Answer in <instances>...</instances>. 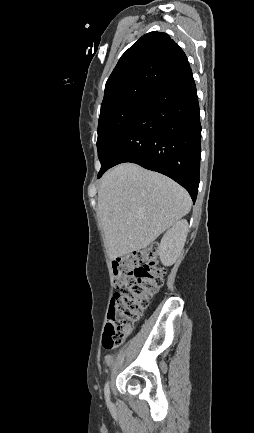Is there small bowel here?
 Masks as SVG:
<instances>
[{"mask_svg": "<svg viewBox=\"0 0 254 433\" xmlns=\"http://www.w3.org/2000/svg\"><path fill=\"white\" fill-rule=\"evenodd\" d=\"M106 360L109 361V360H110V357H107Z\"/></svg>", "mask_w": 254, "mask_h": 433, "instance_id": "small-bowel-1", "label": "small bowel"}]
</instances>
